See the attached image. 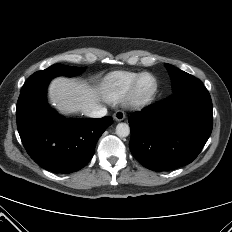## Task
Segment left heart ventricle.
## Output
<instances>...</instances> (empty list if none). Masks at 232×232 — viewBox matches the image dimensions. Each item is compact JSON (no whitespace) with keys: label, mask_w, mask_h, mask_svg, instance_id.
Returning <instances> with one entry per match:
<instances>
[{"label":"left heart ventricle","mask_w":232,"mask_h":232,"mask_svg":"<svg viewBox=\"0 0 232 232\" xmlns=\"http://www.w3.org/2000/svg\"><path fill=\"white\" fill-rule=\"evenodd\" d=\"M150 86H151V80L149 78L143 79V81L141 83V90L145 91V90L149 89Z\"/></svg>","instance_id":"left-heart-ventricle-1"}]
</instances>
